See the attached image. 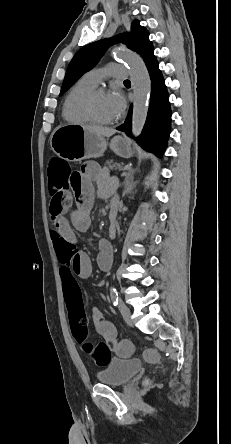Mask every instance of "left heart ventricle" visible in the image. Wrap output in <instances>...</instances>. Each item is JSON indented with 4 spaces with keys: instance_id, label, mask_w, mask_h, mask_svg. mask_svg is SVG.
I'll return each instance as SVG.
<instances>
[{
    "instance_id": "1",
    "label": "left heart ventricle",
    "mask_w": 231,
    "mask_h": 444,
    "mask_svg": "<svg viewBox=\"0 0 231 444\" xmlns=\"http://www.w3.org/2000/svg\"><path fill=\"white\" fill-rule=\"evenodd\" d=\"M93 111L96 117L100 120H111L116 118L111 104L108 99V94H99L93 101Z\"/></svg>"
}]
</instances>
